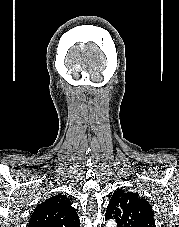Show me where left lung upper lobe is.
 <instances>
[{
    "instance_id": "obj_1",
    "label": "left lung upper lobe",
    "mask_w": 179,
    "mask_h": 227,
    "mask_svg": "<svg viewBox=\"0 0 179 227\" xmlns=\"http://www.w3.org/2000/svg\"><path fill=\"white\" fill-rule=\"evenodd\" d=\"M106 219L114 218L117 227H156L152 207L138 193L118 189L106 210Z\"/></svg>"
}]
</instances>
